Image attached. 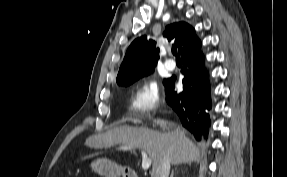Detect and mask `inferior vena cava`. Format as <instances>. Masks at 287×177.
<instances>
[{"mask_svg": "<svg viewBox=\"0 0 287 177\" xmlns=\"http://www.w3.org/2000/svg\"><path fill=\"white\" fill-rule=\"evenodd\" d=\"M171 160L169 155L165 156L161 163L159 164L156 172L154 173V177H168L170 172Z\"/></svg>", "mask_w": 287, "mask_h": 177, "instance_id": "inferior-vena-cava-1", "label": "inferior vena cava"}]
</instances>
